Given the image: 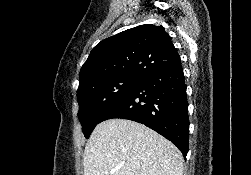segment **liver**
Segmentation results:
<instances>
[{
	"mask_svg": "<svg viewBox=\"0 0 251 175\" xmlns=\"http://www.w3.org/2000/svg\"><path fill=\"white\" fill-rule=\"evenodd\" d=\"M183 161L174 143L143 123L106 119L92 131L83 165L84 175H183Z\"/></svg>",
	"mask_w": 251,
	"mask_h": 175,
	"instance_id": "6515ba94",
	"label": "liver"
}]
</instances>
